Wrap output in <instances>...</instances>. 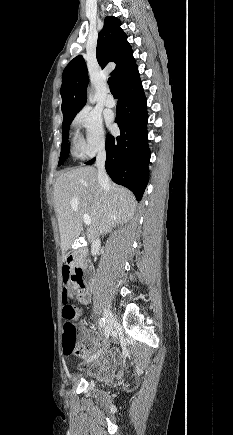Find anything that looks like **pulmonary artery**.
I'll use <instances>...</instances> for the list:
<instances>
[{"label": "pulmonary artery", "mask_w": 233, "mask_h": 435, "mask_svg": "<svg viewBox=\"0 0 233 435\" xmlns=\"http://www.w3.org/2000/svg\"><path fill=\"white\" fill-rule=\"evenodd\" d=\"M105 104L107 107H114L116 105V101L112 95H108Z\"/></svg>", "instance_id": "e3ab8cb5"}]
</instances>
